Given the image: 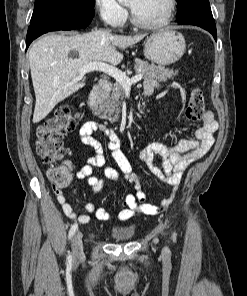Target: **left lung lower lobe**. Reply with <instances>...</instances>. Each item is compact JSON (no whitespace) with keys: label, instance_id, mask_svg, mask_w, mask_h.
I'll list each match as a JSON object with an SVG mask.
<instances>
[{"label":"left lung lower lobe","instance_id":"left-lung-lower-lobe-1","mask_svg":"<svg viewBox=\"0 0 247 296\" xmlns=\"http://www.w3.org/2000/svg\"><path fill=\"white\" fill-rule=\"evenodd\" d=\"M178 24H191L209 31L217 41L216 25L209 4H199L192 11L178 18Z\"/></svg>","mask_w":247,"mask_h":296}]
</instances>
